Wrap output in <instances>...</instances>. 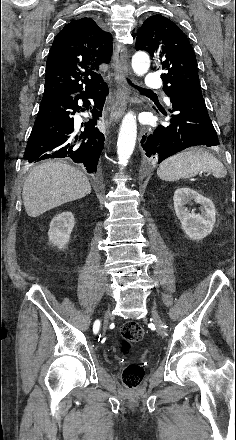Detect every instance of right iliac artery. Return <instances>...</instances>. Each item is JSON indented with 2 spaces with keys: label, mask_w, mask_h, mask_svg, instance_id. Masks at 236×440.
I'll return each mask as SVG.
<instances>
[{
  "label": "right iliac artery",
  "mask_w": 236,
  "mask_h": 440,
  "mask_svg": "<svg viewBox=\"0 0 236 440\" xmlns=\"http://www.w3.org/2000/svg\"><path fill=\"white\" fill-rule=\"evenodd\" d=\"M99 327H100V322L97 320V321H95V323H94V326H93V332H94V333H97V332L99 331Z\"/></svg>",
  "instance_id": "1"
}]
</instances>
